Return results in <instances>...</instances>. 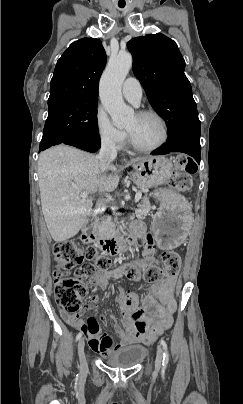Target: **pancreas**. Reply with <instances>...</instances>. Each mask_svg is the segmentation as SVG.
<instances>
[{"label":"pancreas","mask_w":243,"mask_h":404,"mask_svg":"<svg viewBox=\"0 0 243 404\" xmlns=\"http://www.w3.org/2000/svg\"><path fill=\"white\" fill-rule=\"evenodd\" d=\"M147 194V193H144ZM151 206L149 202V198L147 196H144L142 200H140L139 204H137V210H135V216L138 218V220H144L145 216H150L151 212ZM115 232V224H105L104 228L100 230V238H110V236H113Z\"/></svg>","instance_id":"cf45deb5"}]
</instances>
